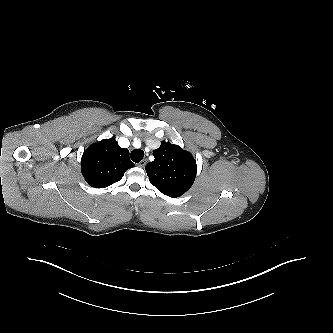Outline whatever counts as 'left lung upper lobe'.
Here are the masks:
<instances>
[{
    "label": "left lung upper lobe",
    "mask_w": 333,
    "mask_h": 333,
    "mask_svg": "<svg viewBox=\"0 0 333 333\" xmlns=\"http://www.w3.org/2000/svg\"><path fill=\"white\" fill-rule=\"evenodd\" d=\"M154 161L145 170L150 183L160 192L170 197L183 195L194 183L197 166L191 153L178 145L161 142L153 151Z\"/></svg>",
    "instance_id": "obj_1"
}]
</instances>
